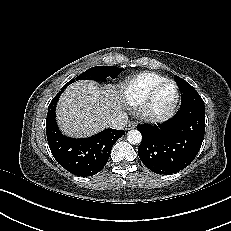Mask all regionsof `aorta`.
Here are the masks:
<instances>
[{
    "label": "aorta",
    "mask_w": 231,
    "mask_h": 231,
    "mask_svg": "<svg viewBox=\"0 0 231 231\" xmlns=\"http://www.w3.org/2000/svg\"><path fill=\"white\" fill-rule=\"evenodd\" d=\"M127 140L130 144L137 145L142 141V134L138 130H130L127 133Z\"/></svg>",
    "instance_id": "obj_1"
}]
</instances>
